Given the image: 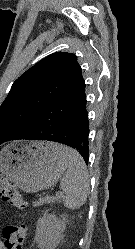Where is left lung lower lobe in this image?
Instances as JSON below:
<instances>
[{
    "mask_svg": "<svg viewBox=\"0 0 135 249\" xmlns=\"http://www.w3.org/2000/svg\"><path fill=\"white\" fill-rule=\"evenodd\" d=\"M85 86V82H83L80 86L41 109L34 116L28 128L7 141L29 139L63 143L76 149L87 164L89 158V121Z\"/></svg>",
    "mask_w": 135,
    "mask_h": 249,
    "instance_id": "left-lung-lower-lobe-1",
    "label": "left lung lower lobe"
}]
</instances>
